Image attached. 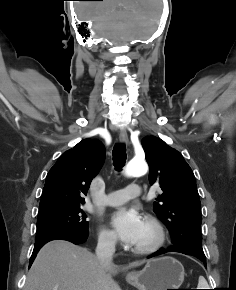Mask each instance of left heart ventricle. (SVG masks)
I'll list each match as a JSON object with an SVG mask.
<instances>
[{"instance_id": "left-heart-ventricle-1", "label": "left heart ventricle", "mask_w": 236, "mask_h": 290, "mask_svg": "<svg viewBox=\"0 0 236 290\" xmlns=\"http://www.w3.org/2000/svg\"><path fill=\"white\" fill-rule=\"evenodd\" d=\"M151 238V231L144 225L143 230L134 246L146 244L151 240Z\"/></svg>"}]
</instances>
